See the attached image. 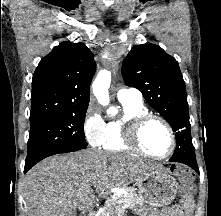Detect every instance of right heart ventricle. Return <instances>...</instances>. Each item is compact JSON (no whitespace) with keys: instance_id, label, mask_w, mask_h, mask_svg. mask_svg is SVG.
Segmentation results:
<instances>
[{"instance_id":"right-heart-ventricle-1","label":"right heart ventricle","mask_w":221,"mask_h":216,"mask_svg":"<svg viewBox=\"0 0 221 216\" xmlns=\"http://www.w3.org/2000/svg\"><path fill=\"white\" fill-rule=\"evenodd\" d=\"M121 104L122 115L108 121L105 126V135L101 147L106 151L130 152L132 149L125 140V127L136 117L149 113L142 101H123Z\"/></svg>"}]
</instances>
